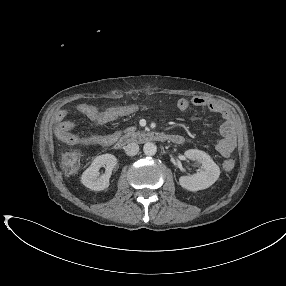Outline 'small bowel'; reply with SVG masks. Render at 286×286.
I'll return each mask as SVG.
<instances>
[{"label": "small bowel", "mask_w": 286, "mask_h": 286, "mask_svg": "<svg viewBox=\"0 0 286 286\" xmlns=\"http://www.w3.org/2000/svg\"><path fill=\"white\" fill-rule=\"evenodd\" d=\"M190 107L206 108L210 112L218 114L224 120L221 126V134L223 138L216 144V150L223 156L229 157L234 151L237 144V135L235 124L232 119L229 108L221 103L206 99L204 97L196 96L191 99L180 98L177 101V108L181 111L187 110ZM76 111L96 125H103L112 122L122 116L128 115L135 111V106H118L101 110L92 103H79L75 107ZM70 112L61 109L56 112L54 119L58 123L57 135L67 144L76 145L80 147H108L114 144L119 136V132H113L104 135H87L79 136L72 133L74 123L69 120Z\"/></svg>", "instance_id": "1"}]
</instances>
